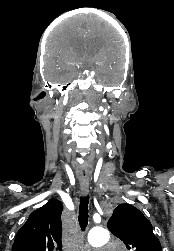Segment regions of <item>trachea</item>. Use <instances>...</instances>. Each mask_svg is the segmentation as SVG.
<instances>
[{"instance_id":"trachea-1","label":"trachea","mask_w":174,"mask_h":251,"mask_svg":"<svg viewBox=\"0 0 174 251\" xmlns=\"http://www.w3.org/2000/svg\"><path fill=\"white\" fill-rule=\"evenodd\" d=\"M88 203L89 196L80 197V206H79V223L81 229L84 231L88 224Z\"/></svg>"}]
</instances>
